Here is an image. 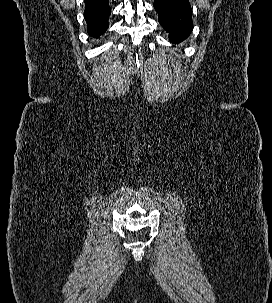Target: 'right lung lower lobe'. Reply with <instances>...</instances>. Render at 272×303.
<instances>
[{
  "instance_id": "1",
  "label": "right lung lower lobe",
  "mask_w": 272,
  "mask_h": 303,
  "mask_svg": "<svg viewBox=\"0 0 272 303\" xmlns=\"http://www.w3.org/2000/svg\"><path fill=\"white\" fill-rule=\"evenodd\" d=\"M84 17L87 22V31L92 37L98 38L108 28V17L111 9L108 0H84Z\"/></svg>"
}]
</instances>
